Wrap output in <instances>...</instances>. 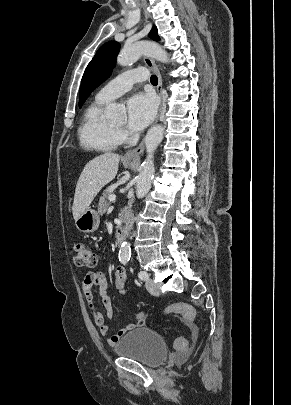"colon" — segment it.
I'll use <instances>...</instances> for the list:
<instances>
[{"instance_id":"obj_1","label":"colon","mask_w":291,"mask_h":405,"mask_svg":"<svg viewBox=\"0 0 291 405\" xmlns=\"http://www.w3.org/2000/svg\"><path fill=\"white\" fill-rule=\"evenodd\" d=\"M73 263L78 268H93L97 264V256L91 246L84 242H79L74 246ZM115 286L120 293L126 289V272L122 267H118L115 272ZM166 313L180 315L188 323H194L196 320L195 309L184 303H176L168 306ZM174 347L180 351L186 350L188 341L184 337H178L174 341Z\"/></svg>"}]
</instances>
